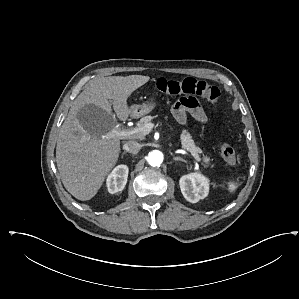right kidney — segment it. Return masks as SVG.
<instances>
[{
  "mask_svg": "<svg viewBox=\"0 0 299 299\" xmlns=\"http://www.w3.org/2000/svg\"><path fill=\"white\" fill-rule=\"evenodd\" d=\"M129 169L126 165H118L108 175L106 185L111 194L122 191L127 183Z\"/></svg>",
  "mask_w": 299,
  "mask_h": 299,
  "instance_id": "1",
  "label": "right kidney"
}]
</instances>
